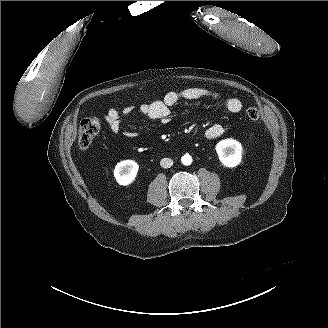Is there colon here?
<instances>
[{
  "label": "colon",
  "mask_w": 328,
  "mask_h": 328,
  "mask_svg": "<svg viewBox=\"0 0 328 328\" xmlns=\"http://www.w3.org/2000/svg\"><path fill=\"white\" fill-rule=\"evenodd\" d=\"M248 119L252 121H257L260 118V113L257 108L250 107L246 111ZM100 131V122L96 118H85L80 122L79 126V135H78V144L82 150H87L97 134Z\"/></svg>",
  "instance_id": "1"
}]
</instances>
